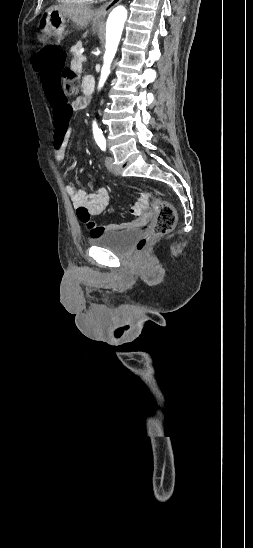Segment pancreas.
Wrapping results in <instances>:
<instances>
[{
    "label": "pancreas",
    "instance_id": "1",
    "mask_svg": "<svg viewBox=\"0 0 253 548\" xmlns=\"http://www.w3.org/2000/svg\"><path fill=\"white\" fill-rule=\"evenodd\" d=\"M81 47H82V43L79 42V43H77L75 46H73V47L71 48V52H72V54H73V56H74V59H75L76 61H80V60H81V57H82V53L80 52Z\"/></svg>",
    "mask_w": 253,
    "mask_h": 548
}]
</instances>
